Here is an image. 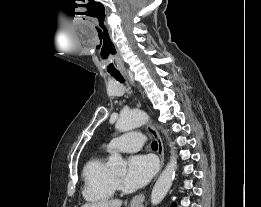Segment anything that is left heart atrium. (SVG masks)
Masks as SVG:
<instances>
[{
  "instance_id": "1",
  "label": "left heart atrium",
  "mask_w": 261,
  "mask_h": 207,
  "mask_svg": "<svg viewBox=\"0 0 261 207\" xmlns=\"http://www.w3.org/2000/svg\"><path fill=\"white\" fill-rule=\"evenodd\" d=\"M156 171V162L150 155H134L128 161L124 182L131 188L145 185Z\"/></svg>"
}]
</instances>
